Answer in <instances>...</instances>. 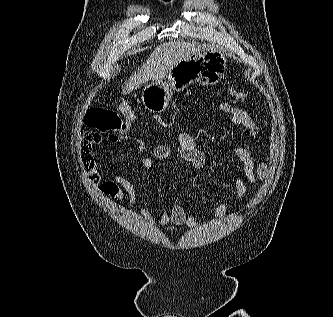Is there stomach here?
<instances>
[{
  "label": "stomach",
  "mask_w": 333,
  "mask_h": 317,
  "mask_svg": "<svg viewBox=\"0 0 333 317\" xmlns=\"http://www.w3.org/2000/svg\"><path fill=\"white\" fill-rule=\"evenodd\" d=\"M226 57L213 47H204L201 53L183 60L168 72V82L163 79L153 80L142 92L145 108L152 112L166 109L173 95V90H184L193 81L202 84H214L226 69Z\"/></svg>",
  "instance_id": "0dacf381"
}]
</instances>
